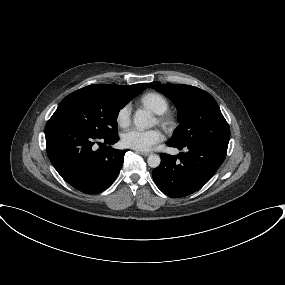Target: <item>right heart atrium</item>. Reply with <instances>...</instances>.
I'll use <instances>...</instances> for the list:
<instances>
[{
    "mask_svg": "<svg viewBox=\"0 0 285 285\" xmlns=\"http://www.w3.org/2000/svg\"><path fill=\"white\" fill-rule=\"evenodd\" d=\"M132 107L130 104L123 105L117 112L116 121L120 127H127L131 122Z\"/></svg>",
    "mask_w": 285,
    "mask_h": 285,
    "instance_id": "d8ad5b80",
    "label": "right heart atrium"
}]
</instances>
